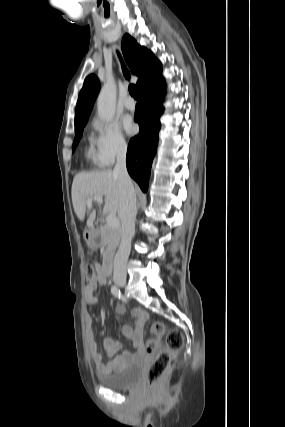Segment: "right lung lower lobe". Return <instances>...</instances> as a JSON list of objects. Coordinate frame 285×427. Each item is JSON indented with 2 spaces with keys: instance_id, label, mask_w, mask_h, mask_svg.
<instances>
[{
  "instance_id": "right-lung-lower-lobe-1",
  "label": "right lung lower lobe",
  "mask_w": 285,
  "mask_h": 427,
  "mask_svg": "<svg viewBox=\"0 0 285 427\" xmlns=\"http://www.w3.org/2000/svg\"><path fill=\"white\" fill-rule=\"evenodd\" d=\"M139 93L134 119L139 123L140 132L129 142L126 165L130 176L146 192L158 144L159 118L164 110L165 82L161 72L148 80Z\"/></svg>"
}]
</instances>
